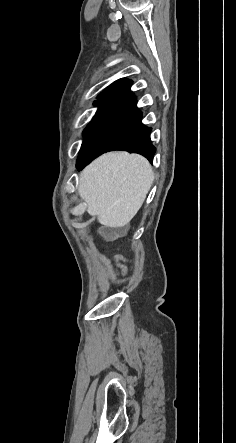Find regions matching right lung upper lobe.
I'll return each mask as SVG.
<instances>
[{"mask_svg":"<svg viewBox=\"0 0 236 443\" xmlns=\"http://www.w3.org/2000/svg\"><path fill=\"white\" fill-rule=\"evenodd\" d=\"M131 84L132 81L125 78L115 81L97 97L98 100L96 102L106 101L110 97L128 90Z\"/></svg>","mask_w":236,"mask_h":443,"instance_id":"1","label":"right lung upper lobe"}]
</instances>
